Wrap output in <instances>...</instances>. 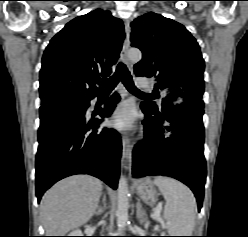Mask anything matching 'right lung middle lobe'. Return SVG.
Listing matches in <instances>:
<instances>
[{
  "label": "right lung middle lobe",
  "instance_id": "1",
  "mask_svg": "<svg viewBox=\"0 0 248 237\" xmlns=\"http://www.w3.org/2000/svg\"><path fill=\"white\" fill-rule=\"evenodd\" d=\"M83 101H62V102H58V103H55V104H63V103H81Z\"/></svg>",
  "mask_w": 248,
  "mask_h": 237
}]
</instances>
